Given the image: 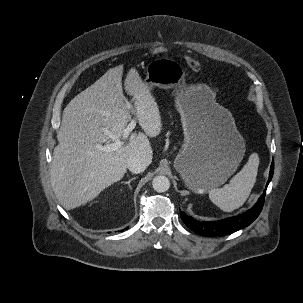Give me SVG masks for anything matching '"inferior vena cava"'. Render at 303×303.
Returning a JSON list of instances; mask_svg holds the SVG:
<instances>
[{
    "label": "inferior vena cava",
    "mask_w": 303,
    "mask_h": 303,
    "mask_svg": "<svg viewBox=\"0 0 303 303\" xmlns=\"http://www.w3.org/2000/svg\"><path fill=\"white\" fill-rule=\"evenodd\" d=\"M148 165H149L148 160L141 156L131 157L127 161V168L132 173H135V174L143 172L147 168Z\"/></svg>",
    "instance_id": "obj_1"
}]
</instances>
